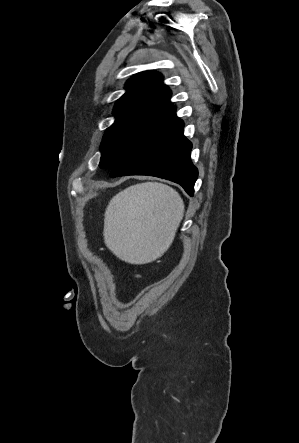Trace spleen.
Returning <instances> with one entry per match:
<instances>
[{
  "instance_id": "1",
  "label": "spleen",
  "mask_w": 299,
  "mask_h": 443,
  "mask_svg": "<svg viewBox=\"0 0 299 443\" xmlns=\"http://www.w3.org/2000/svg\"><path fill=\"white\" fill-rule=\"evenodd\" d=\"M183 215V200L173 188L159 183L130 186L106 208L105 244L126 262L153 261L171 245Z\"/></svg>"
}]
</instances>
